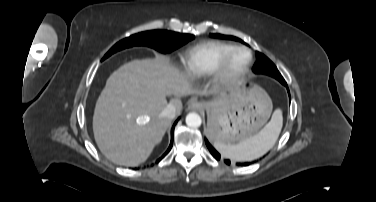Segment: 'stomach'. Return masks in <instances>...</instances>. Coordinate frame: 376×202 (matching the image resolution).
<instances>
[{"label": "stomach", "mask_w": 376, "mask_h": 202, "mask_svg": "<svg viewBox=\"0 0 376 202\" xmlns=\"http://www.w3.org/2000/svg\"><path fill=\"white\" fill-rule=\"evenodd\" d=\"M201 105L208 113L210 139L228 144H237L254 136L272 111L269 96L257 86L233 85L228 94Z\"/></svg>", "instance_id": "obj_1"}]
</instances>
